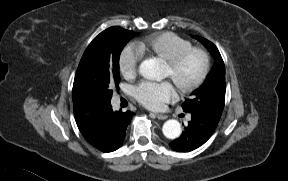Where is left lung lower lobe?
Wrapping results in <instances>:
<instances>
[{"label":"left lung lower lobe","instance_id":"left-lung-lower-lobe-1","mask_svg":"<svg viewBox=\"0 0 288 181\" xmlns=\"http://www.w3.org/2000/svg\"><path fill=\"white\" fill-rule=\"evenodd\" d=\"M192 120L182 135L172 141L170 146L176 151H192L204 144L215 131L218 122L202 113H191Z\"/></svg>","mask_w":288,"mask_h":181}]
</instances>
